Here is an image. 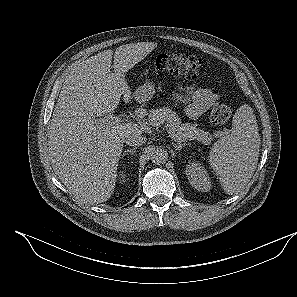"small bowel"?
I'll list each match as a JSON object with an SVG mask.
<instances>
[{"mask_svg": "<svg viewBox=\"0 0 297 297\" xmlns=\"http://www.w3.org/2000/svg\"><path fill=\"white\" fill-rule=\"evenodd\" d=\"M172 98L184 106L187 117L192 120L207 112L218 101V95L213 90L197 84H179Z\"/></svg>", "mask_w": 297, "mask_h": 297, "instance_id": "small-bowel-1", "label": "small bowel"}]
</instances>
